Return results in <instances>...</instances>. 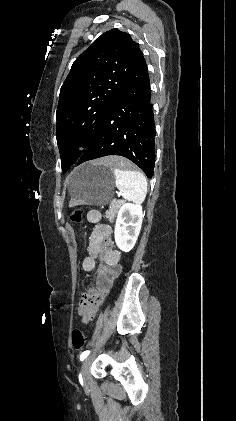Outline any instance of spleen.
<instances>
[{"label": "spleen", "mask_w": 236, "mask_h": 421, "mask_svg": "<svg viewBox=\"0 0 236 421\" xmlns=\"http://www.w3.org/2000/svg\"><path fill=\"white\" fill-rule=\"evenodd\" d=\"M114 166L116 174V186L119 188L123 198L141 204L147 194V178L139 170H121L120 164Z\"/></svg>", "instance_id": "3e777b00"}]
</instances>
